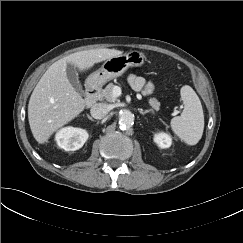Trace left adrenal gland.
Wrapping results in <instances>:
<instances>
[{
	"label": "left adrenal gland",
	"mask_w": 243,
	"mask_h": 243,
	"mask_svg": "<svg viewBox=\"0 0 243 243\" xmlns=\"http://www.w3.org/2000/svg\"><path fill=\"white\" fill-rule=\"evenodd\" d=\"M139 112H140V114H142V115H145L146 113H153L152 110H143V109H139Z\"/></svg>",
	"instance_id": "left-adrenal-gland-1"
}]
</instances>
